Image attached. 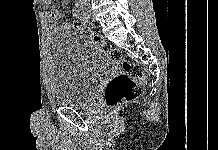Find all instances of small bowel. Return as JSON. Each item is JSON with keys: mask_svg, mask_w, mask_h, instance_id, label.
<instances>
[{"mask_svg": "<svg viewBox=\"0 0 218 150\" xmlns=\"http://www.w3.org/2000/svg\"><path fill=\"white\" fill-rule=\"evenodd\" d=\"M45 8H46V17L49 21V29L52 33H56L59 31H68L71 29V24L62 23L60 25L57 24L59 18L63 17L62 13H59L53 6L52 0H44ZM75 16L77 17V10H73ZM78 18V17H77Z\"/></svg>", "mask_w": 218, "mask_h": 150, "instance_id": "small-bowel-1", "label": "small bowel"}]
</instances>
